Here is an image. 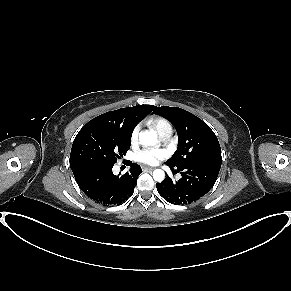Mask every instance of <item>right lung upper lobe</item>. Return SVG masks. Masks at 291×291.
<instances>
[{
  "label": "right lung upper lobe",
  "mask_w": 291,
  "mask_h": 291,
  "mask_svg": "<svg viewBox=\"0 0 291 291\" xmlns=\"http://www.w3.org/2000/svg\"><path fill=\"white\" fill-rule=\"evenodd\" d=\"M155 106L153 105H137L128 108H121L115 111H110L99 115L98 117L90 120L92 122H105L113 125H119L133 131L135 126L146 117Z\"/></svg>",
  "instance_id": "obj_1"
}]
</instances>
